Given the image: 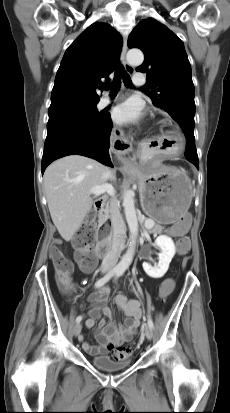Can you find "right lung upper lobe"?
Instances as JSON below:
<instances>
[{
    "mask_svg": "<svg viewBox=\"0 0 230 413\" xmlns=\"http://www.w3.org/2000/svg\"><path fill=\"white\" fill-rule=\"evenodd\" d=\"M121 35L108 23H93L66 50L57 71L49 108L99 102L95 89L117 64Z\"/></svg>",
    "mask_w": 230,
    "mask_h": 413,
    "instance_id": "cb5924a9",
    "label": "right lung upper lobe"
}]
</instances>
